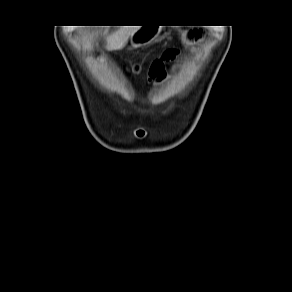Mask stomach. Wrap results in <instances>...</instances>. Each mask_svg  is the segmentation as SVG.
<instances>
[{
  "label": "stomach",
  "mask_w": 292,
  "mask_h": 292,
  "mask_svg": "<svg viewBox=\"0 0 292 292\" xmlns=\"http://www.w3.org/2000/svg\"><path fill=\"white\" fill-rule=\"evenodd\" d=\"M155 38V30L152 27H142L131 38L134 47L146 45Z\"/></svg>",
  "instance_id": "1"
}]
</instances>
